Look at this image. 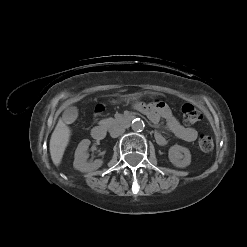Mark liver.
I'll return each instance as SVG.
<instances>
[{"instance_id": "1", "label": "liver", "mask_w": 247, "mask_h": 247, "mask_svg": "<svg viewBox=\"0 0 247 247\" xmlns=\"http://www.w3.org/2000/svg\"><path fill=\"white\" fill-rule=\"evenodd\" d=\"M71 129L59 119L50 139V155L55 166H59L69 143Z\"/></svg>"}]
</instances>
